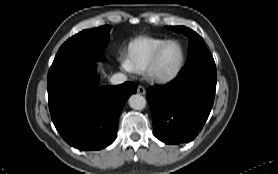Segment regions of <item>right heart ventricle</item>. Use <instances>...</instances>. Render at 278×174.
Wrapping results in <instances>:
<instances>
[{
  "mask_svg": "<svg viewBox=\"0 0 278 174\" xmlns=\"http://www.w3.org/2000/svg\"><path fill=\"white\" fill-rule=\"evenodd\" d=\"M166 39L143 36L133 40L128 46V59L134 71H146L154 51Z\"/></svg>",
  "mask_w": 278,
  "mask_h": 174,
  "instance_id": "1",
  "label": "right heart ventricle"
}]
</instances>
